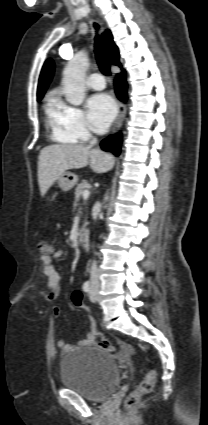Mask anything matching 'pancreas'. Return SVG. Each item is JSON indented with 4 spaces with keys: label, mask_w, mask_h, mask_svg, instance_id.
<instances>
[{
    "label": "pancreas",
    "mask_w": 208,
    "mask_h": 425,
    "mask_svg": "<svg viewBox=\"0 0 208 425\" xmlns=\"http://www.w3.org/2000/svg\"><path fill=\"white\" fill-rule=\"evenodd\" d=\"M90 184L86 180H82L81 183L78 184L77 188L75 189V201L78 202L79 199L83 196V192L85 190H89ZM86 230V223L81 228L80 234L83 236L84 231Z\"/></svg>",
    "instance_id": "obj_1"
}]
</instances>
